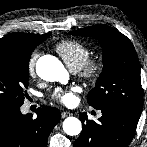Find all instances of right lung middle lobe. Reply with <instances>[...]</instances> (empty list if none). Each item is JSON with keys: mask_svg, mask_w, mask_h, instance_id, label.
Instances as JSON below:
<instances>
[{"mask_svg": "<svg viewBox=\"0 0 147 147\" xmlns=\"http://www.w3.org/2000/svg\"><path fill=\"white\" fill-rule=\"evenodd\" d=\"M46 38L29 45L0 44V109L19 108L24 103L31 53Z\"/></svg>", "mask_w": 147, "mask_h": 147, "instance_id": "1", "label": "right lung middle lobe"}]
</instances>
